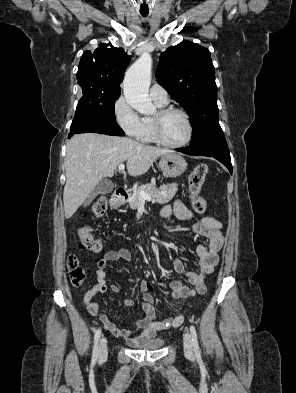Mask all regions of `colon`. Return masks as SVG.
<instances>
[{
    "mask_svg": "<svg viewBox=\"0 0 296 393\" xmlns=\"http://www.w3.org/2000/svg\"><path fill=\"white\" fill-rule=\"evenodd\" d=\"M207 170L205 164H199L189 176V197L192 209L197 214H203L207 209V202L205 198L200 195L201 188L207 175ZM107 204L108 201L106 197L98 198L92 207L93 214L98 217L103 216L106 212ZM80 240L81 248H86L93 252H99L103 248L102 241L95 238L88 227L81 228ZM67 265L72 284L75 286L81 285L86 278V271L80 265L79 259L71 255L68 258Z\"/></svg>",
    "mask_w": 296,
    "mask_h": 393,
    "instance_id": "colon-1",
    "label": "colon"
}]
</instances>
